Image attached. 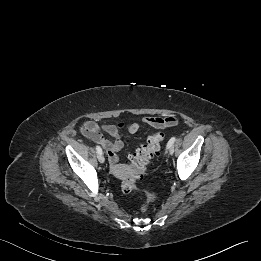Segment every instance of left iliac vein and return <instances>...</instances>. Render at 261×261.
<instances>
[{
  "label": "left iliac vein",
  "instance_id": "4c4485c4",
  "mask_svg": "<svg viewBox=\"0 0 261 261\" xmlns=\"http://www.w3.org/2000/svg\"><path fill=\"white\" fill-rule=\"evenodd\" d=\"M168 152H169L171 155L174 153V148H173V146H170V147L168 148Z\"/></svg>",
  "mask_w": 261,
  "mask_h": 261
}]
</instances>
